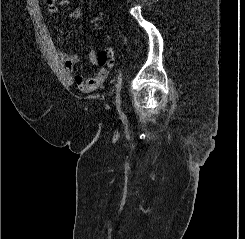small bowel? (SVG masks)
<instances>
[{
  "label": "small bowel",
  "instance_id": "obj_1",
  "mask_svg": "<svg viewBox=\"0 0 245 239\" xmlns=\"http://www.w3.org/2000/svg\"><path fill=\"white\" fill-rule=\"evenodd\" d=\"M46 3L48 5L49 13L56 14L58 12V8L60 6H68L70 4V0H54V2L46 1ZM81 15L82 12L79 8H74L69 13V17L72 19H78ZM59 58L65 72L73 75L75 65L77 63V56L72 53L60 52ZM88 60L91 65L98 67L96 73L90 78H85L80 74L73 76V82L75 85L85 93L95 91L107 80L110 70L115 65V54L112 49L97 52L92 47H89Z\"/></svg>",
  "mask_w": 245,
  "mask_h": 239
}]
</instances>
